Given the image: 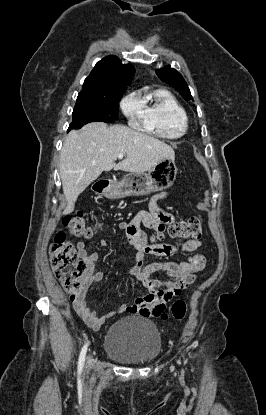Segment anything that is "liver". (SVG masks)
Returning a JSON list of instances; mask_svg holds the SVG:
<instances>
[{"label": "liver", "mask_w": 266, "mask_h": 415, "mask_svg": "<svg viewBox=\"0 0 266 415\" xmlns=\"http://www.w3.org/2000/svg\"><path fill=\"white\" fill-rule=\"evenodd\" d=\"M119 153L126 158L115 163ZM173 148L164 142L124 125L107 126L92 122L71 131L60 153L59 172L67 206L64 215L74 210L78 196L103 171L122 170L144 173L164 159L174 160Z\"/></svg>", "instance_id": "obj_1"}]
</instances>
